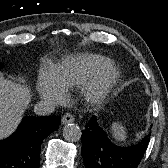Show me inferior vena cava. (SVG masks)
Masks as SVG:
<instances>
[{
    "instance_id": "obj_1",
    "label": "inferior vena cava",
    "mask_w": 168,
    "mask_h": 168,
    "mask_svg": "<svg viewBox=\"0 0 168 168\" xmlns=\"http://www.w3.org/2000/svg\"><path fill=\"white\" fill-rule=\"evenodd\" d=\"M54 110L55 105L51 101H40L34 106V112L40 116L49 115Z\"/></svg>"
}]
</instances>
